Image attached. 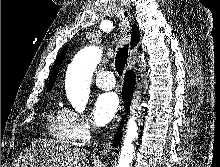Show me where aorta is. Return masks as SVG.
<instances>
[{"label": "aorta", "instance_id": "aorta-1", "mask_svg": "<svg viewBox=\"0 0 220 167\" xmlns=\"http://www.w3.org/2000/svg\"><path fill=\"white\" fill-rule=\"evenodd\" d=\"M102 53L98 47L82 49L68 66L65 87L67 97L78 112H83L89 99L93 72L101 61ZM135 107V106H134ZM135 113V111H133ZM137 115L129 118L117 167H130L134 157L132 142L137 138Z\"/></svg>", "mask_w": 220, "mask_h": 167}]
</instances>
